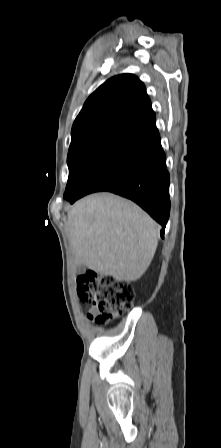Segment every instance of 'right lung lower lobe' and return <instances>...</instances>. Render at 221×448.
Segmentation results:
<instances>
[{"label":"right lung lower lobe","mask_w":221,"mask_h":448,"mask_svg":"<svg viewBox=\"0 0 221 448\" xmlns=\"http://www.w3.org/2000/svg\"><path fill=\"white\" fill-rule=\"evenodd\" d=\"M169 184L166 156L154 119L116 143L70 202L99 191L129 198L162 225L163 238L170 213Z\"/></svg>","instance_id":"obj_1"}]
</instances>
